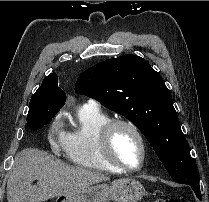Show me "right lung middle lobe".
Instances as JSON below:
<instances>
[{"label":"right lung middle lobe","mask_w":209,"mask_h":202,"mask_svg":"<svg viewBox=\"0 0 209 202\" xmlns=\"http://www.w3.org/2000/svg\"><path fill=\"white\" fill-rule=\"evenodd\" d=\"M54 98L51 90H37L31 97L27 123L32 129H39L51 122L61 107L50 103Z\"/></svg>","instance_id":"obj_1"}]
</instances>
